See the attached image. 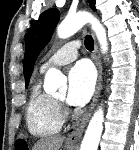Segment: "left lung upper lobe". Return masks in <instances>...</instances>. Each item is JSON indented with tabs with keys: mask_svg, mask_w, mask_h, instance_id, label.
Instances as JSON below:
<instances>
[{
	"mask_svg": "<svg viewBox=\"0 0 139 150\" xmlns=\"http://www.w3.org/2000/svg\"><path fill=\"white\" fill-rule=\"evenodd\" d=\"M88 2L91 7L95 9V0H88ZM59 18L60 13L56 8L46 10L27 32L25 38L26 50L23 63L26 87L29 84L35 61L40 51L50 40Z\"/></svg>",
	"mask_w": 139,
	"mask_h": 150,
	"instance_id": "left-lung-upper-lobe-1",
	"label": "left lung upper lobe"
}]
</instances>
